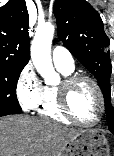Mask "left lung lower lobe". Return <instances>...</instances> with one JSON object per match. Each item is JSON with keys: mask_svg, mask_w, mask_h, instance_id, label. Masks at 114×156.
<instances>
[{"mask_svg": "<svg viewBox=\"0 0 114 156\" xmlns=\"http://www.w3.org/2000/svg\"><path fill=\"white\" fill-rule=\"evenodd\" d=\"M114 134V129H109Z\"/></svg>", "mask_w": 114, "mask_h": 156, "instance_id": "0a47b994", "label": "left lung lower lobe"}]
</instances>
